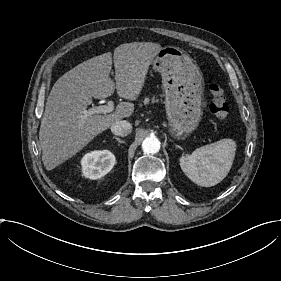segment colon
I'll return each mask as SVG.
<instances>
[{
  "label": "colon",
  "instance_id": "5ec220e1",
  "mask_svg": "<svg viewBox=\"0 0 281 281\" xmlns=\"http://www.w3.org/2000/svg\"><path fill=\"white\" fill-rule=\"evenodd\" d=\"M207 90L210 96V110L213 119L218 124H225L228 121L229 110L224 97L223 87L214 78H209Z\"/></svg>",
  "mask_w": 281,
  "mask_h": 281
}]
</instances>
